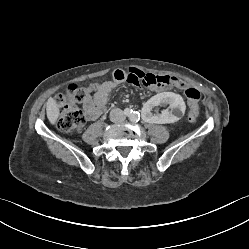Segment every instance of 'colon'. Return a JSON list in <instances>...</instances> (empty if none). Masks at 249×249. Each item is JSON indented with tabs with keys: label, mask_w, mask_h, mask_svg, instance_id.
Instances as JSON below:
<instances>
[{
	"label": "colon",
	"mask_w": 249,
	"mask_h": 249,
	"mask_svg": "<svg viewBox=\"0 0 249 249\" xmlns=\"http://www.w3.org/2000/svg\"><path fill=\"white\" fill-rule=\"evenodd\" d=\"M176 84L184 90L189 103V120L197 122L200 116L199 100L200 93L197 89L189 87L186 82L168 76H156L144 73V81L141 87L158 88L167 84ZM131 84V83H130ZM87 88L78 87L76 84L68 86L64 93H60L55 98V103L59 109L58 128L65 133L79 132L85 124V116L77 107V103L84 101L89 94Z\"/></svg>",
	"instance_id": "colon-1"
}]
</instances>
